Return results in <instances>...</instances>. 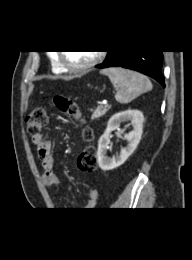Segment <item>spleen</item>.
Masks as SVG:
<instances>
[{"label": "spleen", "instance_id": "spleen-1", "mask_svg": "<svg viewBox=\"0 0 192 260\" xmlns=\"http://www.w3.org/2000/svg\"><path fill=\"white\" fill-rule=\"evenodd\" d=\"M107 75L114 85H119L120 89L115 95L116 101L126 104L137 98L142 93L152 90L151 81L145 76L135 71L123 68H106L101 71Z\"/></svg>", "mask_w": 192, "mask_h": 260}]
</instances>
